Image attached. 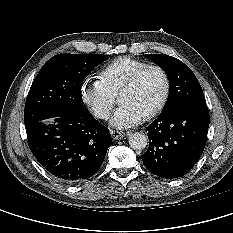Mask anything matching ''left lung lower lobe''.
I'll return each mask as SVG.
<instances>
[{
  "mask_svg": "<svg viewBox=\"0 0 233 233\" xmlns=\"http://www.w3.org/2000/svg\"><path fill=\"white\" fill-rule=\"evenodd\" d=\"M209 121L204 104H185L161 112L147 127L149 147L142 155L144 166L164 178L187 174L202 155Z\"/></svg>",
  "mask_w": 233,
  "mask_h": 233,
  "instance_id": "left-lung-lower-lobe-1",
  "label": "left lung lower lobe"
}]
</instances>
